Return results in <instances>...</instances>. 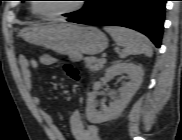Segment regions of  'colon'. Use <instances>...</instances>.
<instances>
[{
    "mask_svg": "<svg viewBox=\"0 0 182 140\" xmlns=\"http://www.w3.org/2000/svg\"><path fill=\"white\" fill-rule=\"evenodd\" d=\"M66 70H67V72H68L70 75H74V74H75V71H74L71 67H66Z\"/></svg>",
    "mask_w": 182,
    "mask_h": 140,
    "instance_id": "colon-1",
    "label": "colon"
}]
</instances>
